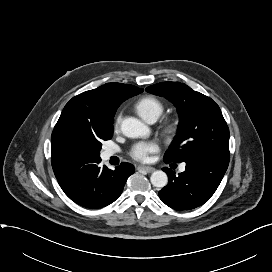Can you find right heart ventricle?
Returning a JSON list of instances; mask_svg holds the SVG:
<instances>
[{"label":"right heart ventricle","instance_id":"1","mask_svg":"<svg viewBox=\"0 0 272 272\" xmlns=\"http://www.w3.org/2000/svg\"><path fill=\"white\" fill-rule=\"evenodd\" d=\"M138 114L146 121L157 120L163 113V103L154 96H145L138 100L135 105Z\"/></svg>","mask_w":272,"mask_h":272}]
</instances>
